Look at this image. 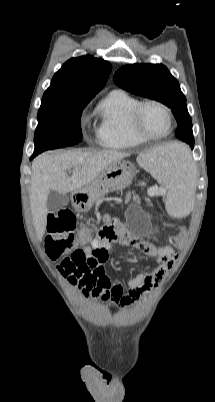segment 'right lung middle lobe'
Instances as JSON below:
<instances>
[{"mask_svg":"<svg viewBox=\"0 0 215 402\" xmlns=\"http://www.w3.org/2000/svg\"><path fill=\"white\" fill-rule=\"evenodd\" d=\"M92 98H42L35 131L32 157L55 148L72 146L82 140L81 113Z\"/></svg>","mask_w":215,"mask_h":402,"instance_id":"right-lung-middle-lobe-1","label":"right lung middle lobe"}]
</instances>
